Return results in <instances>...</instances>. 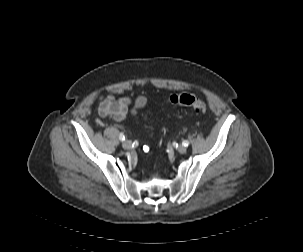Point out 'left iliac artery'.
Here are the masks:
<instances>
[{
	"instance_id": "left-iliac-artery-1",
	"label": "left iliac artery",
	"mask_w": 303,
	"mask_h": 252,
	"mask_svg": "<svg viewBox=\"0 0 303 252\" xmlns=\"http://www.w3.org/2000/svg\"><path fill=\"white\" fill-rule=\"evenodd\" d=\"M182 144H183V146L188 147V146H189V141L184 140V141L182 142Z\"/></svg>"
}]
</instances>
